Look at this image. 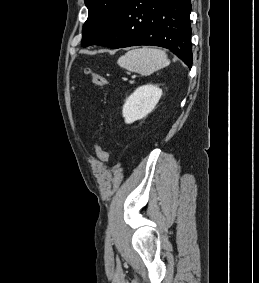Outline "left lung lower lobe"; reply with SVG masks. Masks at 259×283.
I'll return each mask as SVG.
<instances>
[{
    "label": "left lung lower lobe",
    "mask_w": 259,
    "mask_h": 283,
    "mask_svg": "<svg viewBox=\"0 0 259 283\" xmlns=\"http://www.w3.org/2000/svg\"><path fill=\"white\" fill-rule=\"evenodd\" d=\"M191 0H128L108 34L95 45L167 48L192 65Z\"/></svg>",
    "instance_id": "0a47b994"
}]
</instances>
